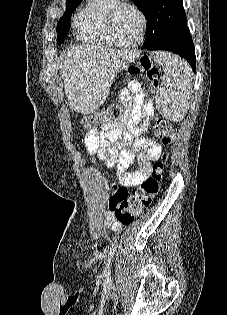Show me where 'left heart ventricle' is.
Returning <instances> with one entry per match:
<instances>
[{
	"mask_svg": "<svg viewBox=\"0 0 227 315\" xmlns=\"http://www.w3.org/2000/svg\"><path fill=\"white\" fill-rule=\"evenodd\" d=\"M140 28L141 20L136 11L129 7L122 8L114 24L116 39L123 44H132L139 38Z\"/></svg>",
	"mask_w": 227,
	"mask_h": 315,
	"instance_id": "obj_1",
	"label": "left heart ventricle"
}]
</instances>
